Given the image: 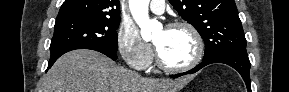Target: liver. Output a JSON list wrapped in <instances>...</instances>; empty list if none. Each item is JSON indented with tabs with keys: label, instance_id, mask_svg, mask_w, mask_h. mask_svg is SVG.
Masks as SVG:
<instances>
[{
	"label": "liver",
	"instance_id": "obj_1",
	"mask_svg": "<svg viewBox=\"0 0 289 92\" xmlns=\"http://www.w3.org/2000/svg\"><path fill=\"white\" fill-rule=\"evenodd\" d=\"M186 79H148L105 55L78 49L61 56L43 79V92H176Z\"/></svg>",
	"mask_w": 289,
	"mask_h": 92
}]
</instances>
